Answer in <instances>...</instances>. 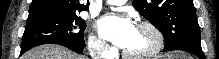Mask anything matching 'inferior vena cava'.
<instances>
[{
	"instance_id": "1",
	"label": "inferior vena cava",
	"mask_w": 219,
	"mask_h": 59,
	"mask_svg": "<svg viewBox=\"0 0 219 59\" xmlns=\"http://www.w3.org/2000/svg\"><path fill=\"white\" fill-rule=\"evenodd\" d=\"M103 47L101 44H96L93 48H92V57L93 59H99V53L102 51Z\"/></svg>"
}]
</instances>
